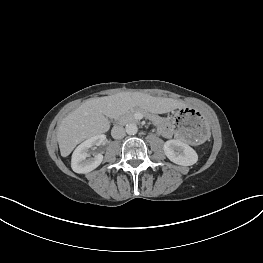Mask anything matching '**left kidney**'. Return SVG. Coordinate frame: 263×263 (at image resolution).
<instances>
[{"mask_svg": "<svg viewBox=\"0 0 263 263\" xmlns=\"http://www.w3.org/2000/svg\"><path fill=\"white\" fill-rule=\"evenodd\" d=\"M167 158L175 164L191 166L198 161L196 151L180 140H168L163 146Z\"/></svg>", "mask_w": 263, "mask_h": 263, "instance_id": "left-kidney-1", "label": "left kidney"}]
</instances>
